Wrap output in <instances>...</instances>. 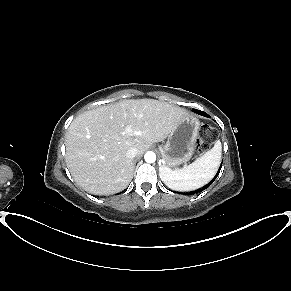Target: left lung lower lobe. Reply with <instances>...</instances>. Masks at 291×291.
Returning <instances> with one entry per match:
<instances>
[{"instance_id":"left-lung-lower-lobe-1","label":"left lung lower lobe","mask_w":291,"mask_h":291,"mask_svg":"<svg viewBox=\"0 0 291 291\" xmlns=\"http://www.w3.org/2000/svg\"><path fill=\"white\" fill-rule=\"evenodd\" d=\"M193 111L198 113V114H200V115H202V116L209 117V115L207 113L203 112V111L196 110V109H194ZM220 169H221V167H220ZM220 169H219L218 173L216 174V176L207 185H205L204 187H202V188H200L198 190L189 192V193H187V195L197 194V193L207 189L215 181V179L217 178V176H218V174L220 172Z\"/></svg>"}]
</instances>
